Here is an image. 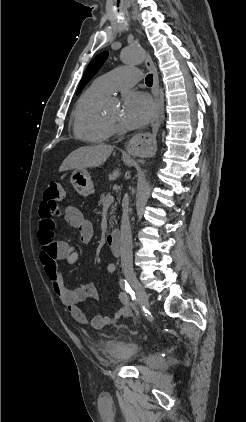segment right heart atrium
<instances>
[{"label": "right heart atrium", "instance_id": "d8ad5b80", "mask_svg": "<svg viewBox=\"0 0 246 422\" xmlns=\"http://www.w3.org/2000/svg\"><path fill=\"white\" fill-rule=\"evenodd\" d=\"M111 130H112V132H115L116 131V128L115 127H112Z\"/></svg>", "mask_w": 246, "mask_h": 422}]
</instances>
